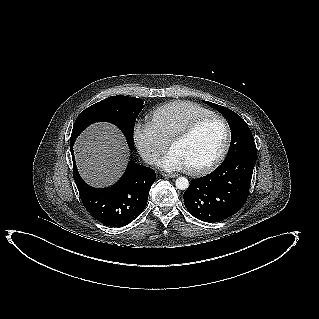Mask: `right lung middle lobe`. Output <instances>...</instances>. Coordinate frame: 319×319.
Listing matches in <instances>:
<instances>
[{
  "label": "right lung middle lobe",
  "instance_id": "obj_1",
  "mask_svg": "<svg viewBox=\"0 0 319 319\" xmlns=\"http://www.w3.org/2000/svg\"><path fill=\"white\" fill-rule=\"evenodd\" d=\"M143 108V100L140 98L121 95L108 97L79 114L74 123L70 141H74L90 124L106 121L115 124L122 130L130 149H133V129L136 118Z\"/></svg>",
  "mask_w": 319,
  "mask_h": 319
}]
</instances>
